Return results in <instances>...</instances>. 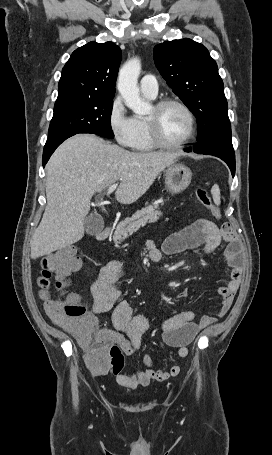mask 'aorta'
<instances>
[{
    "label": "aorta",
    "instance_id": "1",
    "mask_svg": "<svg viewBox=\"0 0 272 455\" xmlns=\"http://www.w3.org/2000/svg\"><path fill=\"white\" fill-rule=\"evenodd\" d=\"M141 71V61L135 57L127 61L119 71L117 87L128 108L135 114L145 115L151 106L142 100L138 87V77Z\"/></svg>",
    "mask_w": 272,
    "mask_h": 455
}]
</instances>
